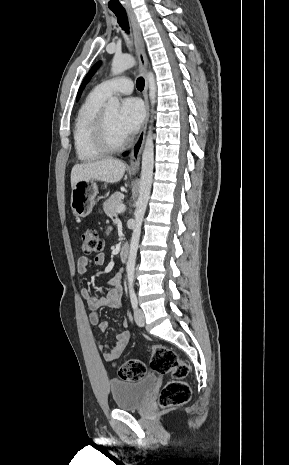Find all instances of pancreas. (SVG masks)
Listing matches in <instances>:
<instances>
[{
  "label": "pancreas",
  "instance_id": "pancreas-1",
  "mask_svg": "<svg viewBox=\"0 0 289 465\" xmlns=\"http://www.w3.org/2000/svg\"><path fill=\"white\" fill-rule=\"evenodd\" d=\"M123 194L116 192L103 204L104 212L107 216L112 217L117 215V208L122 205Z\"/></svg>",
  "mask_w": 289,
  "mask_h": 465
}]
</instances>
